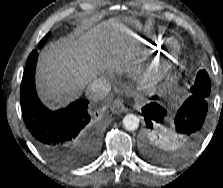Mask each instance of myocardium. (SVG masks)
Returning a JSON list of instances; mask_svg holds the SVG:
<instances>
[{"label": "myocardium", "instance_id": "1", "mask_svg": "<svg viewBox=\"0 0 223 188\" xmlns=\"http://www.w3.org/2000/svg\"><path fill=\"white\" fill-rule=\"evenodd\" d=\"M166 53L163 60L152 64L146 72L144 79L148 83H153L171 74L178 65L181 44L178 39L170 38L166 42Z\"/></svg>", "mask_w": 223, "mask_h": 188}]
</instances>
